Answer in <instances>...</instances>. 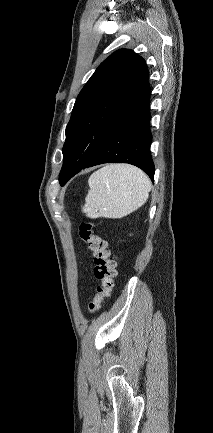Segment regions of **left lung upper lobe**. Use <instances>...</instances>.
Masks as SVG:
<instances>
[{
	"label": "left lung upper lobe",
	"mask_w": 213,
	"mask_h": 433,
	"mask_svg": "<svg viewBox=\"0 0 213 433\" xmlns=\"http://www.w3.org/2000/svg\"><path fill=\"white\" fill-rule=\"evenodd\" d=\"M148 81L145 60L130 49L112 53L79 93L66 127L60 184L78 173Z\"/></svg>",
	"instance_id": "5c2ea615"
}]
</instances>
